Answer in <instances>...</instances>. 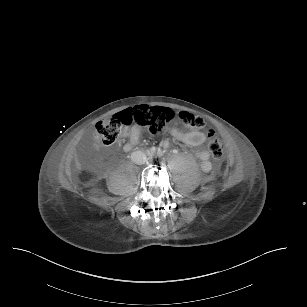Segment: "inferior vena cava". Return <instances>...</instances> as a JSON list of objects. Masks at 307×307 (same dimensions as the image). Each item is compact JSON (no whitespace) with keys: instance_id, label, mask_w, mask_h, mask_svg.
Instances as JSON below:
<instances>
[{"instance_id":"obj_1","label":"inferior vena cava","mask_w":307,"mask_h":307,"mask_svg":"<svg viewBox=\"0 0 307 307\" xmlns=\"http://www.w3.org/2000/svg\"><path fill=\"white\" fill-rule=\"evenodd\" d=\"M131 160L138 165H143L147 161L146 153L142 151H134L131 154Z\"/></svg>"}]
</instances>
